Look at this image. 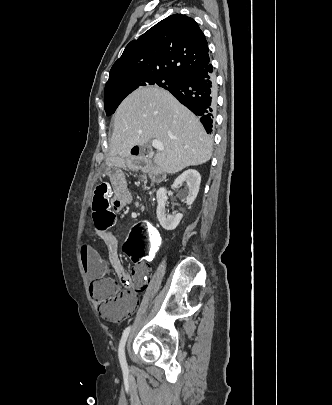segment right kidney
I'll return each instance as SVG.
<instances>
[{"mask_svg": "<svg viewBox=\"0 0 332 405\" xmlns=\"http://www.w3.org/2000/svg\"><path fill=\"white\" fill-rule=\"evenodd\" d=\"M183 182L187 183L188 194L186 196L187 205L193 204L194 200L197 197L201 176L196 170H186L180 176H178L172 184V187L179 188ZM157 198V218L160 225L167 231L174 230L180 223L183 214H167L165 210V204L167 201V190L165 188H160L156 194Z\"/></svg>", "mask_w": 332, "mask_h": 405, "instance_id": "right-kidney-1", "label": "right kidney"}]
</instances>
